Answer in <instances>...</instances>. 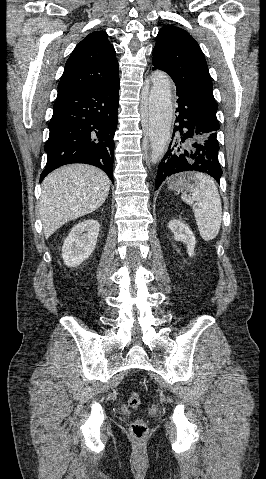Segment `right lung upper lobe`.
Listing matches in <instances>:
<instances>
[{
	"mask_svg": "<svg viewBox=\"0 0 266 479\" xmlns=\"http://www.w3.org/2000/svg\"><path fill=\"white\" fill-rule=\"evenodd\" d=\"M115 50L107 33L87 35L68 58L58 84V92L111 82L119 77Z\"/></svg>",
	"mask_w": 266,
	"mask_h": 479,
	"instance_id": "cb5924a9",
	"label": "right lung upper lobe"
}]
</instances>
